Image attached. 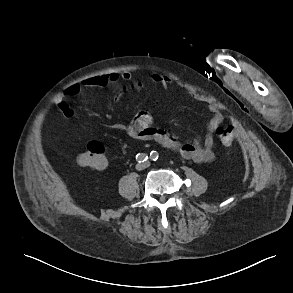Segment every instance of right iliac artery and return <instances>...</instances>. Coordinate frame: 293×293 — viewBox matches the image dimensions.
Returning a JSON list of instances; mask_svg holds the SVG:
<instances>
[{
	"instance_id": "82829eb1",
	"label": "right iliac artery",
	"mask_w": 293,
	"mask_h": 293,
	"mask_svg": "<svg viewBox=\"0 0 293 293\" xmlns=\"http://www.w3.org/2000/svg\"><path fill=\"white\" fill-rule=\"evenodd\" d=\"M147 159H148V156H147V154H145V153H138V154L136 155V160H137L139 163L144 162V161H146Z\"/></svg>"
}]
</instances>
